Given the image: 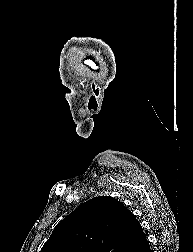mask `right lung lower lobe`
<instances>
[{"instance_id": "right-lung-lower-lobe-1", "label": "right lung lower lobe", "mask_w": 193, "mask_h": 252, "mask_svg": "<svg viewBox=\"0 0 193 252\" xmlns=\"http://www.w3.org/2000/svg\"><path fill=\"white\" fill-rule=\"evenodd\" d=\"M130 252H152L145 235L140 239L136 246L130 250Z\"/></svg>"}]
</instances>
